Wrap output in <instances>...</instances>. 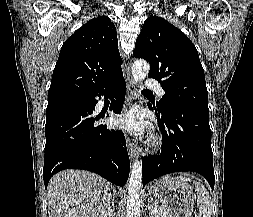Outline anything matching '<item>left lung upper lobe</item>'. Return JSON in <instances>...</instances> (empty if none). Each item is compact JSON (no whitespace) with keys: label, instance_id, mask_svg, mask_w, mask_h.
Masks as SVG:
<instances>
[{"label":"left lung upper lobe","instance_id":"left-lung-upper-lobe-1","mask_svg":"<svg viewBox=\"0 0 253 217\" xmlns=\"http://www.w3.org/2000/svg\"><path fill=\"white\" fill-rule=\"evenodd\" d=\"M133 54L150 63L148 77L157 79L165 91L156 103L159 112L173 105L208 109V92L198 52L179 29L161 17L148 18Z\"/></svg>","mask_w":253,"mask_h":217}]
</instances>
